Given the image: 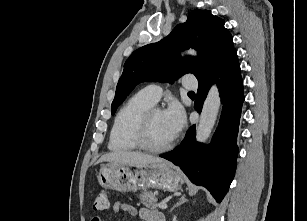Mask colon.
Here are the masks:
<instances>
[{"label":"colon","instance_id":"5ec220e1","mask_svg":"<svg viewBox=\"0 0 307 221\" xmlns=\"http://www.w3.org/2000/svg\"><path fill=\"white\" fill-rule=\"evenodd\" d=\"M109 206V199L106 192L101 191L98 193V195L95 198L93 208L96 212H103L105 211Z\"/></svg>","mask_w":307,"mask_h":221}]
</instances>
